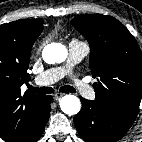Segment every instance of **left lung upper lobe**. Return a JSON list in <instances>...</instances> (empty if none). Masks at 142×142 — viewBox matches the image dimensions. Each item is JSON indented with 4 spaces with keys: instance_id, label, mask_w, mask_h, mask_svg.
Returning a JSON list of instances; mask_svg holds the SVG:
<instances>
[{
    "instance_id": "1",
    "label": "left lung upper lobe",
    "mask_w": 142,
    "mask_h": 142,
    "mask_svg": "<svg viewBox=\"0 0 142 142\" xmlns=\"http://www.w3.org/2000/svg\"><path fill=\"white\" fill-rule=\"evenodd\" d=\"M74 27L89 42V66L95 101L134 122L142 98V59L137 41L116 18L95 14L77 16Z\"/></svg>"
}]
</instances>
